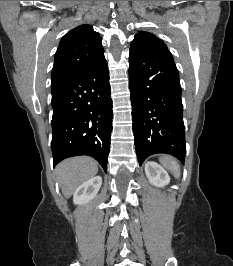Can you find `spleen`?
Returning <instances> with one entry per match:
<instances>
[{"mask_svg":"<svg viewBox=\"0 0 233 266\" xmlns=\"http://www.w3.org/2000/svg\"><path fill=\"white\" fill-rule=\"evenodd\" d=\"M161 163L164 167H166L167 169H169L175 177H179L180 176V169H179V165L172 160L170 157H164L161 158Z\"/></svg>","mask_w":233,"mask_h":266,"instance_id":"1","label":"spleen"}]
</instances>
